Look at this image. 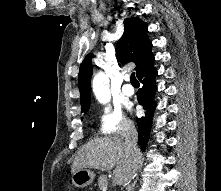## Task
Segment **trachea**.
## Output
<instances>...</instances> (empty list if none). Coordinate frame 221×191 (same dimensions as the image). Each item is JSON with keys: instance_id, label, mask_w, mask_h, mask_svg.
Masks as SVG:
<instances>
[{"instance_id": "obj_1", "label": "trachea", "mask_w": 221, "mask_h": 191, "mask_svg": "<svg viewBox=\"0 0 221 191\" xmlns=\"http://www.w3.org/2000/svg\"><path fill=\"white\" fill-rule=\"evenodd\" d=\"M130 79H131V83H132V84H139V82H138V80L136 79L134 73L131 74V78H130Z\"/></svg>"}]
</instances>
